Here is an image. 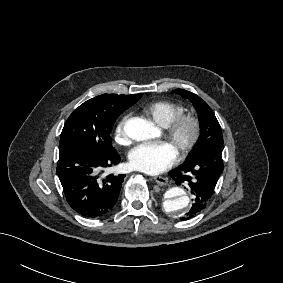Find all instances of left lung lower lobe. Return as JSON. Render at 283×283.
Returning <instances> with one entry per match:
<instances>
[{
  "instance_id": "1",
  "label": "left lung lower lobe",
  "mask_w": 283,
  "mask_h": 283,
  "mask_svg": "<svg viewBox=\"0 0 283 283\" xmlns=\"http://www.w3.org/2000/svg\"><path fill=\"white\" fill-rule=\"evenodd\" d=\"M222 172V148H211L169 173L177 183H188L194 197L191 209L181 220H188L205 209Z\"/></svg>"
}]
</instances>
